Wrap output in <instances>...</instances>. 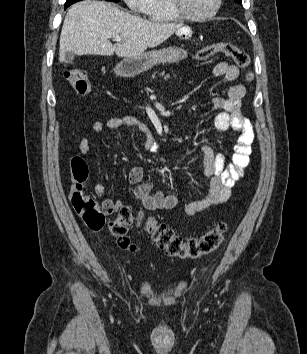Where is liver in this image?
<instances>
[{"instance_id": "obj_1", "label": "liver", "mask_w": 307, "mask_h": 354, "mask_svg": "<svg viewBox=\"0 0 307 354\" xmlns=\"http://www.w3.org/2000/svg\"><path fill=\"white\" fill-rule=\"evenodd\" d=\"M181 24L150 22L117 6L98 0L75 3L68 10L60 36L59 60L67 52L77 55L136 57L172 36ZM120 36L114 45L110 38Z\"/></svg>"}]
</instances>
